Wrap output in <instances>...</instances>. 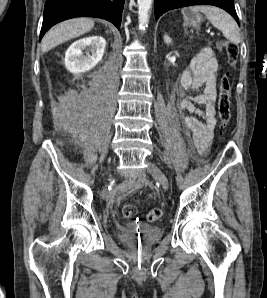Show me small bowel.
Masks as SVG:
<instances>
[{"label": "small bowel", "mask_w": 267, "mask_h": 298, "mask_svg": "<svg viewBox=\"0 0 267 298\" xmlns=\"http://www.w3.org/2000/svg\"><path fill=\"white\" fill-rule=\"evenodd\" d=\"M218 61L209 48L201 50L188 64L181 76V87L201 92L179 103L184 132L192 138L199 156H204L211 144L216 126ZM202 106L203 108H200ZM143 185L138 181L134 189Z\"/></svg>", "instance_id": "small-bowel-1"}]
</instances>
